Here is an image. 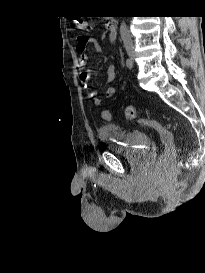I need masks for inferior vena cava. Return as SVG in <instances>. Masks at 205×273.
<instances>
[{
	"label": "inferior vena cava",
	"mask_w": 205,
	"mask_h": 273,
	"mask_svg": "<svg viewBox=\"0 0 205 273\" xmlns=\"http://www.w3.org/2000/svg\"><path fill=\"white\" fill-rule=\"evenodd\" d=\"M120 34H121V38L123 40L124 46L125 47H132L133 46L132 38H131L130 32L124 22L120 26Z\"/></svg>",
	"instance_id": "inferior-vena-cava-1"
}]
</instances>
